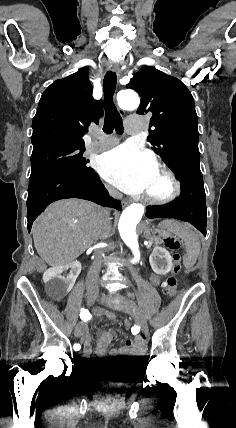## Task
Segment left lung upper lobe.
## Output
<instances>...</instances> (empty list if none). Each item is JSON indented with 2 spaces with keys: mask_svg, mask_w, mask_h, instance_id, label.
Wrapping results in <instances>:
<instances>
[{
  "mask_svg": "<svg viewBox=\"0 0 236 428\" xmlns=\"http://www.w3.org/2000/svg\"><path fill=\"white\" fill-rule=\"evenodd\" d=\"M141 97L140 115L152 114L148 141L176 175L202 176L194 99L179 79L144 66L126 85Z\"/></svg>",
  "mask_w": 236,
  "mask_h": 428,
  "instance_id": "obj_1",
  "label": "left lung upper lobe"
}]
</instances>
